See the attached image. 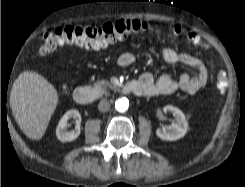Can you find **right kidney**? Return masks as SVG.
Listing matches in <instances>:
<instances>
[{"instance_id": "right-kidney-1", "label": "right kidney", "mask_w": 245, "mask_h": 187, "mask_svg": "<svg viewBox=\"0 0 245 187\" xmlns=\"http://www.w3.org/2000/svg\"><path fill=\"white\" fill-rule=\"evenodd\" d=\"M74 118L76 120V127L74 130L67 131V125L69 119ZM80 122L81 116L78 110L71 109L67 111L60 119L56 128V136L61 142H71L75 140L80 134Z\"/></svg>"}]
</instances>
